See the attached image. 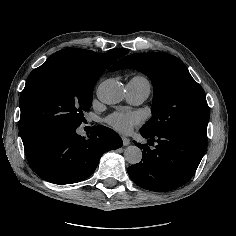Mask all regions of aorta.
<instances>
[{
  "mask_svg": "<svg viewBox=\"0 0 236 236\" xmlns=\"http://www.w3.org/2000/svg\"><path fill=\"white\" fill-rule=\"evenodd\" d=\"M123 95L122 84L113 79L103 81L97 89L98 99L108 105L119 103ZM124 158L129 164H137L142 159V151L139 147L130 145L124 150Z\"/></svg>",
  "mask_w": 236,
  "mask_h": 236,
  "instance_id": "obj_1",
  "label": "aorta"
}]
</instances>
